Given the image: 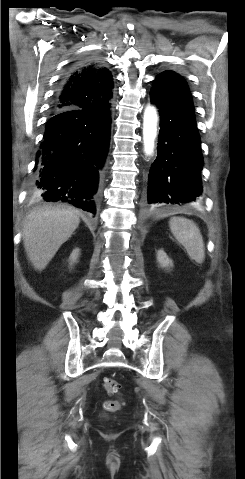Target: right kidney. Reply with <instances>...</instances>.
<instances>
[{"instance_id": "1", "label": "right kidney", "mask_w": 245, "mask_h": 479, "mask_svg": "<svg viewBox=\"0 0 245 479\" xmlns=\"http://www.w3.org/2000/svg\"><path fill=\"white\" fill-rule=\"evenodd\" d=\"M79 255H80L79 249L73 250V252L71 253L70 258H69L71 265L77 261Z\"/></svg>"}]
</instances>
